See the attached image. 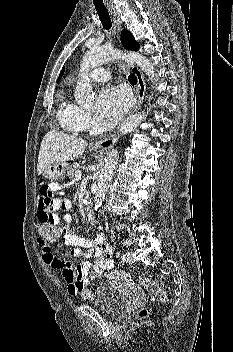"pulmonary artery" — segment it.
<instances>
[{"label":"pulmonary artery","instance_id":"1","mask_svg":"<svg viewBox=\"0 0 233 352\" xmlns=\"http://www.w3.org/2000/svg\"><path fill=\"white\" fill-rule=\"evenodd\" d=\"M91 80L96 82L108 81L111 78L110 72L105 68H95L89 73Z\"/></svg>","mask_w":233,"mask_h":352}]
</instances>
